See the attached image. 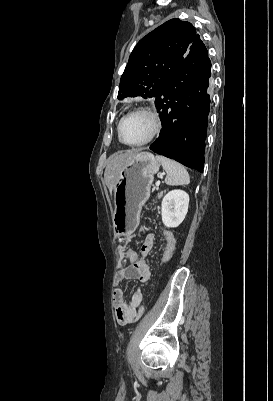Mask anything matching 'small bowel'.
<instances>
[{
    "label": "small bowel",
    "instance_id": "obj_1",
    "mask_svg": "<svg viewBox=\"0 0 273 401\" xmlns=\"http://www.w3.org/2000/svg\"><path fill=\"white\" fill-rule=\"evenodd\" d=\"M166 241L165 253L168 249L173 251L175 246V239L170 231L164 234ZM129 240V238H127ZM155 244V237L153 234H148L141 247L143 256L147 255ZM127 266H123L124 263ZM118 265L119 270L115 277L116 284H120L125 280H137L138 271H151L146 261L140 257L139 253L126 246H121L118 249ZM113 301L115 305L116 318L119 324H128L136 322L143 314L144 308L141 306L143 301V292L141 290L135 291L130 301L127 303L124 298V292L121 288H116L113 293Z\"/></svg>",
    "mask_w": 273,
    "mask_h": 401
}]
</instances>
